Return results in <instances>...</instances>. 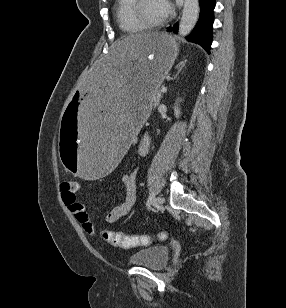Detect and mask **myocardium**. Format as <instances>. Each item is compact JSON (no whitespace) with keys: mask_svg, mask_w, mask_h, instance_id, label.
Returning <instances> with one entry per match:
<instances>
[{"mask_svg":"<svg viewBox=\"0 0 286 308\" xmlns=\"http://www.w3.org/2000/svg\"><path fill=\"white\" fill-rule=\"evenodd\" d=\"M144 2L145 0H135L134 1V4L132 5V8H131V14L133 18L145 29H157V28L162 27L164 24H166L168 17H169L168 15L166 16L165 19L159 22L147 21L141 13V7Z\"/></svg>","mask_w":286,"mask_h":308,"instance_id":"myocardium-1","label":"myocardium"}]
</instances>
